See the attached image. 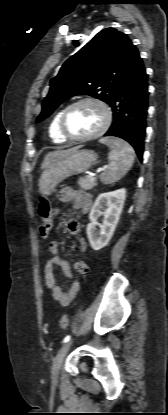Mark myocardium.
Returning <instances> with one entry per match:
<instances>
[{"instance_id": "myocardium-1", "label": "myocardium", "mask_w": 168, "mask_h": 415, "mask_svg": "<svg viewBox=\"0 0 168 415\" xmlns=\"http://www.w3.org/2000/svg\"><path fill=\"white\" fill-rule=\"evenodd\" d=\"M82 103L97 104L103 111L104 120H103L101 127L96 132L90 135H86V136H74L70 134L66 128V118H67L69 111L72 108ZM111 121H112L111 109L104 101H102L101 99L95 98V97H84V98L74 101L73 103L69 104L67 107L63 109L60 119H59V130L61 134L69 141H73V142L90 141V140H93V139H96L102 136L108 130L111 124Z\"/></svg>"}]
</instances>
